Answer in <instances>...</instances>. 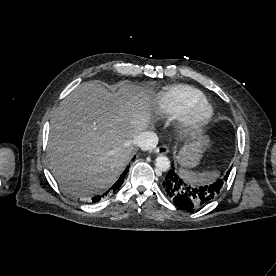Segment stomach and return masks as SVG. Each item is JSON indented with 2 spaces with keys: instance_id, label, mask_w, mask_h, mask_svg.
Here are the masks:
<instances>
[{
  "instance_id": "0dacf381",
  "label": "stomach",
  "mask_w": 276,
  "mask_h": 276,
  "mask_svg": "<svg viewBox=\"0 0 276 276\" xmlns=\"http://www.w3.org/2000/svg\"><path fill=\"white\" fill-rule=\"evenodd\" d=\"M208 145V138L202 134L194 136V140L185 144L178 152L176 160L186 168L195 167L198 165L202 153Z\"/></svg>"
}]
</instances>
